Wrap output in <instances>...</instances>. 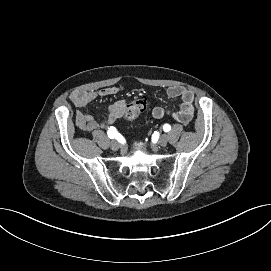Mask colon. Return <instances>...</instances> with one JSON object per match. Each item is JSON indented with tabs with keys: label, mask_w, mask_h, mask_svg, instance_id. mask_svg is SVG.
<instances>
[{
	"label": "colon",
	"mask_w": 271,
	"mask_h": 271,
	"mask_svg": "<svg viewBox=\"0 0 271 271\" xmlns=\"http://www.w3.org/2000/svg\"><path fill=\"white\" fill-rule=\"evenodd\" d=\"M147 106V101L145 99H136L130 102L124 111V116L128 120L136 119Z\"/></svg>",
	"instance_id": "1"
}]
</instances>
